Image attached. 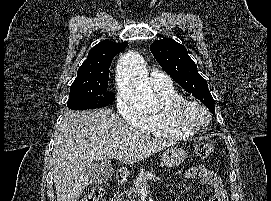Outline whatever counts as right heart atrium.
Segmentation results:
<instances>
[{"instance_id":"right-heart-atrium-1","label":"right heart atrium","mask_w":271,"mask_h":201,"mask_svg":"<svg viewBox=\"0 0 271 201\" xmlns=\"http://www.w3.org/2000/svg\"><path fill=\"white\" fill-rule=\"evenodd\" d=\"M116 107L119 114L128 123L142 128L146 122V116L138 112L121 93L116 94Z\"/></svg>"}]
</instances>
